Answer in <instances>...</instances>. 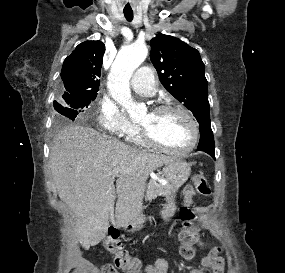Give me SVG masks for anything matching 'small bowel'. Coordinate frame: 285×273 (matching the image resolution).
Here are the masks:
<instances>
[{
    "label": "small bowel",
    "instance_id": "obj_1",
    "mask_svg": "<svg viewBox=\"0 0 285 273\" xmlns=\"http://www.w3.org/2000/svg\"><path fill=\"white\" fill-rule=\"evenodd\" d=\"M200 245L205 246V243L200 239ZM202 264L209 269V273H224L225 259L220 255V249L214 247L209 254L203 259ZM142 273H168V264L164 260H157L152 264H148L142 270ZM188 273H204L197 267H192Z\"/></svg>",
    "mask_w": 285,
    "mask_h": 273
}]
</instances>
